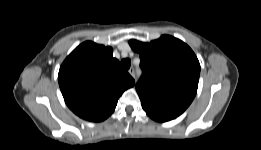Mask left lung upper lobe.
Instances as JSON below:
<instances>
[{
    "label": "left lung upper lobe",
    "instance_id": "1",
    "mask_svg": "<svg viewBox=\"0 0 261 150\" xmlns=\"http://www.w3.org/2000/svg\"><path fill=\"white\" fill-rule=\"evenodd\" d=\"M129 44L140 54L143 75L136 89L143 109L178 117L197 92L200 64L194 52L169 35L150 43L130 40Z\"/></svg>",
    "mask_w": 261,
    "mask_h": 150
}]
</instances>
